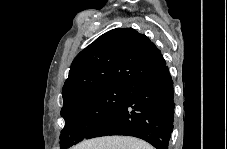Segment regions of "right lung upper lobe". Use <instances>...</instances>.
<instances>
[{
    "mask_svg": "<svg viewBox=\"0 0 227 149\" xmlns=\"http://www.w3.org/2000/svg\"><path fill=\"white\" fill-rule=\"evenodd\" d=\"M165 65L160 50L147 36L132 28L113 29L73 60L62 89L63 108L100 87L114 84L132 87Z\"/></svg>",
    "mask_w": 227,
    "mask_h": 149,
    "instance_id": "obj_1",
    "label": "right lung upper lobe"
}]
</instances>
